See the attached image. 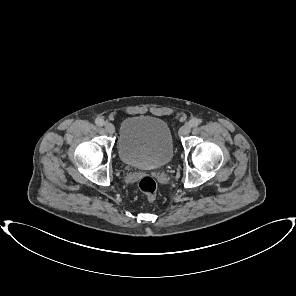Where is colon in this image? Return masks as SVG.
<instances>
[{
  "instance_id": "1",
  "label": "colon",
  "mask_w": 296,
  "mask_h": 296,
  "mask_svg": "<svg viewBox=\"0 0 296 296\" xmlns=\"http://www.w3.org/2000/svg\"><path fill=\"white\" fill-rule=\"evenodd\" d=\"M139 190L149 199L154 200L157 193V184L151 177H144L139 181Z\"/></svg>"
}]
</instances>
